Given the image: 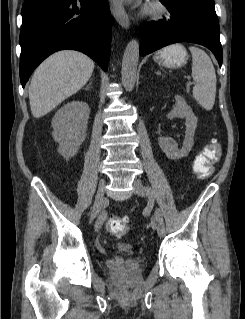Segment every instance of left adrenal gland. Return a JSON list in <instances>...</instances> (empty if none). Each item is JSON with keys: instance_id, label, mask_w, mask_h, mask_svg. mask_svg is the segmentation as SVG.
<instances>
[{"instance_id": "a2214340", "label": "left adrenal gland", "mask_w": 245, "mask_h": 319, "mask_svg": "<svg viewBox=\"0 0 245 319\" xmlns=\"http://www.w3.org/2000/svg\"><path fill=\"white\" fill-rule=\"evenodd\" d=\"M157 75H162V76H164L162 73H161V71H156L155 72Z\"/></svg>"}]
</instances>
